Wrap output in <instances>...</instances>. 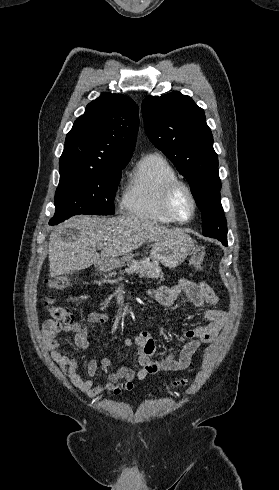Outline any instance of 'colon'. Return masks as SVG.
<instances>
[{
	"label": "colon",
	"instance_id": "obj_1",
	"mask_svg": "<svg viewBox=\"0 0 279 490\" xmlns=\"http://www.w3.org/2000/svg\"><path fill=\"white\" fill-rule=\"evenodd\" d=\"M189 263L190 266L197 271H202L205 268L206 249L204 246L200 245L197 247V249L191 254ZM65 284L66 282L64 281V279H57L52 282L51 289L59 290ZM45 306L47 308L49 316L54 321L64 323H70L72 321L73 314L66 308L57 305L53 296H47L45 298ZM188 382V378L180 377L173 382V387L175 389L184 388L185 386H187Z\"/></svg>",
	"mask_w": 279,
	"mask_h": 490
}]
</instances>
